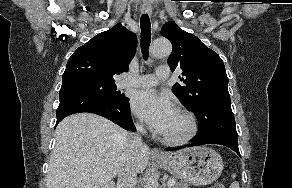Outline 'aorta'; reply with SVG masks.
<instances>
[{"label": "aorta", "mask_w": 292, "mask_h": 188, "mask_svg": "<svg viewBox=\"0 0 292 188\" xmlns=\"http://www.w3.org/2000/svg\"><path fill=\"white\" fill-rule=\"evenodd\" d=\"M172 52V45L169 40L165 38L156 39L151 45V54L155 58H161L170 55ZM146 188H158V181L155 177L148 178Z\"/></svg>", "instance_id": "obj_1"}]
</instances>
